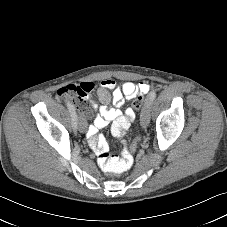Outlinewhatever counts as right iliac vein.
<instances>
[{
	"label": "right iliac vein",
	"instance_id": "63e3f726",
	"mask_svg": "<svg viewBox=\"0 0 227 227\" xmlns=\"http://www.w3.org/2000/svg\"><path fill=\"white\" fill-rule=\"evenodd\" d=\"M77 127L79 129L80 132H85L86 131V127L83 124V122L81 121V119L77 120Z\"/></svg>",
	"mask_w": 227,
	"mask_h": 227
}]
</instances>
